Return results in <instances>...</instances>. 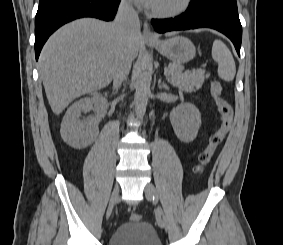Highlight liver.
<instances>
[{
  "label": "liver",
  "mask_w": 283,
  "mask_h": 245,
  "mask_svg": "<svg viewBox=\"0 0 283 245\" xmlns=\"http://www.w3.org/2000/svg\"><path fill=\"white\" fill-rule=\"evenodd\" d=\"M140 45L138 30L130 45L132 60ZM121 49L113 23L83 18L57 30L39 57V73L53 113L59 115L81 95L108 86Z\"/></svg>",
  "instance_id": "1"
}]
</instances>
